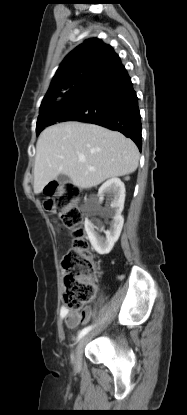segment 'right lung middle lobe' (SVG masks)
I'll list each match as a JSON object with an SVG mask.
<instances>
[{
    "label": "right lung middle lobe",
    "instance_id": "1",
    "mask_svg": "<svg viewBox=\"0 0 187 415\" xmlns=\"http://www.w3.org/2000/svg\"><path fill=\"white\" fill-rule=\"evenodd\" d=\"M78 85H75L67 92L63 93V97L59 98L53 105L48 106L46 108L41 109L40 108V114L37 119V126H36V133L39 135V133L46 127L50 125V117L52 113L55 111V109L58 107V105L64 100L65 97L72 94L76 89Z\"/></svg>",
    "mask_w": 187,
    "mask_h": 415
}]
</instances>
